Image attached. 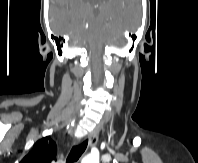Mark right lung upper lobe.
Instances as JSON below:
<instances>
[{
	"mask_svg": "<svg viewBox=\"0 0 198 163\" xmlns=\"http://www.w3.org/2000/svg\"><path fill=\"white\" fill-rule=\"evenodd\" d=\"M56 143L46 136L38 140L20 163H52L56 161Z\"/></svg>",
	"mask_w": 198,
	"mask_h": 163,
	"instance_id": "obj_1",
	"label": "right lung upper lobe"
}]
</instances>
